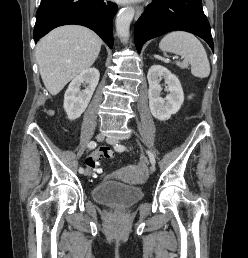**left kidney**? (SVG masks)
<instances>
[{
    "instance_id": "left-kidney-1",
    "label": "left kidney",
    "mask_w": 248,
    "mask_h": 258,
    "mask_svg": "<svg viewBox=\"0 0 248 258\" xmlns=\"http://www.w3.org/2000/svg\"><path fill=\"white\" fill-rule=\"evenodd\" d=\"M165 80L168 84L169 94L166 98L160 96V80ZM147 79L149 83L148 98L151 114L160 121L170 119L172 114H176L184 101V93L181 83L176 75L172 74L166 67L153 65L150 67Z\"/></svg>"
}]
</instances>
